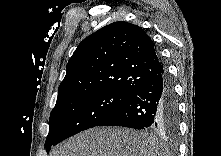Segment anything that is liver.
<instances>
[{
    "label": "liver",
    "instance_id": "1",
    "mask_svg": "<svg viewBox=\"0 0 221 156\" xmlns=\"http://www.w3.org/2000/svg\"><path fill=\"white\" fill-rule=\"evenodd\" d=\"M164 143L155 135L119 127H95L59 144L50 156H163Z\"/></svg>",
    "mask_w": 221,
    "mask_h": 156
}]
</instances>
